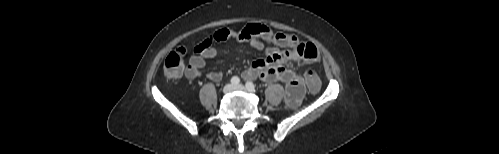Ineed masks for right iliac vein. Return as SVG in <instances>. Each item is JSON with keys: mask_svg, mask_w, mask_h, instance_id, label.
Listing matches in <instances>:
<instances>
[{"mask_svg": "<svg viewBox=\"0 0 499 154\" xmlns=\"http://www.w3.org/2000/svg\"><path fill=\"white\" fill-rule=\"evenodd\" d=\"M232 90H234V86L232 84H227L223 88V92L225 94L230 93Z\"/></svg>", "mask_w": 499, "mask_h": 154, "instance_id": "obj_1", "label": "right iliac vein"}]
</instances>
